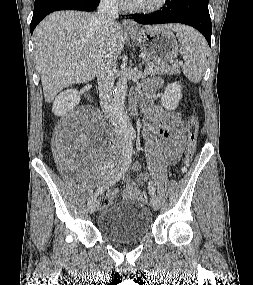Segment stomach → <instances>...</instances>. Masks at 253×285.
<instances>
[{
	"label": "stomach",
	"instance_id": "stomach-1",
	"mask_svg": "<svg viewBox=\"0 0 253 285\" xmlns=\"http://www.w3.org/2000/svg\"><path fill=\"white\" fill-rule=\"evenodd\" d=\"M130 35L152 62L167 64L178 56V43L169 29L163 27L140 29Z\"/></svg>",
	"mask_w": 253,
	"mask_h": 285
}]
</instances>
